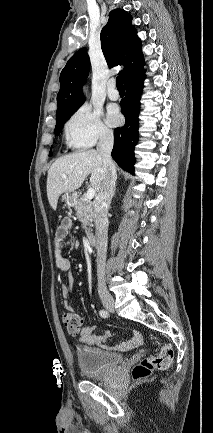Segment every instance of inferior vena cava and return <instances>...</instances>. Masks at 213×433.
<instances>
[{"label": "inferior vena cava", "instance_id": "obj_1", "mask_svg": "<svg viewBox=\"0 0 213 433\" xmlns=\"http://www.w3.org/2000/svg\"><path fill=\"white\" fill-rule=\"evenodd\" d=\"M113 148V133L105 131L100 135L97 151L103 160V182L101 189L94 201L95 227H96V249H97V275L98 292H106L105 284V262L108 239V210L113 197V190L117 179L115 165L111 158Z\"/></svg>", "mask_w": 213, "mask_h": 433}]
</instances>
